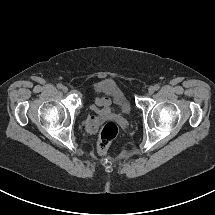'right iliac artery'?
<instances>
[{
	"mask_svg": "<svg viewBox=\"0 0 215 215\" xmlns=\"http://www.w3.org/2000/svg\"><path fill=\"white\" fill-rule=\"evenodd\" d=\"M63 87V85L61 83L57 84V88L61 89Z\"/></svg>",
	"mask_w": 215,
	"mask_h": 215,
	"instance_id": "1",
	"label": "right iliac artery"
}]
</instances>
